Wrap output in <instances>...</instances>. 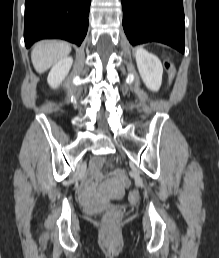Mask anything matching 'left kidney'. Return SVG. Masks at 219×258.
Segmentation results:
<instances>
[{"label": "left kidney", "instance_id": "left-kidney-1", "mask_svg": "<svg viewBox=\"0 0 219 258\" xmlns=\"http://www.w3.org/2000/svg\"><path fill=\"white\" fill-rule=\"evenodd\" d=\"M137 68L145 85L152 91H158L162 83L163 67L160 60L143 48L135 52Z\"/></svg>", "mask_w": 219, "mask_h": 258}]
</instances>
